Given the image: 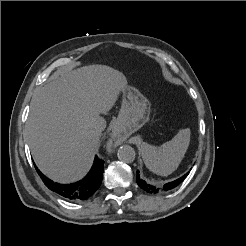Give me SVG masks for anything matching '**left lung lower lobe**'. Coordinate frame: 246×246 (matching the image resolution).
Instances as JSON below:
<instances>
[{
  "label": "left lung lower lobe",
  "instance_id": "obj_1",
  "mask_svg": "<svg viewBox=\"0 0 246 246\" xmlns=\"http://www.w3.org/2000/svg\"><path fill=\"white\" fill-rule=\"evenodd\" d=\"M188 174L189 172L183 175L182 177H180L179 179L165 184L162 188H156L154 186L148 185L144 180H142L139 176V171H137V183L140 188H142L148 193H159L161 191H169L175 188L188 176Z\"/></svg>",
  "mask_w": 246,
  "mask_h": 246
}]
</instances>
